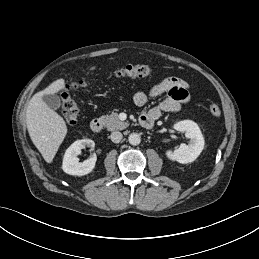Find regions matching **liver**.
Wrapping results in <instances>:
<instances>
[{
  "label": "liver",
  "instance_id": "liver-1",
  "mask_svg": "<svg viewBox=\"0 0 259 259\" xmlns=\"http://www.w3.org/2000/svg\"><path fill=\"white\" fill-rule=\"evenodd\" d=\"M95 67L90 68L94 70ZM64 79L52 82L47 88L37 92L29 101L26 124L29 136L47 163H51L59 146L67 134L64 119L43 101L45 94H54L64 88Z\"/></svg>",
  "mask_w": 259,
  "mask_h": 259
}]
</instances>
